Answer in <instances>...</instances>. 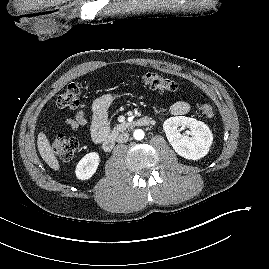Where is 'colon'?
I'll return each mask as SVG.
<instances>
[{"label":"colon","instance_id":"1","mask_svg":"<svg viewBox=\"0 0 269 269\" xmlns=\"http://www.w3.org/2000/svg\"><path fill=\"white\" fill-rule=\"evenodd\" d=\"M142 80L146 86L160 91L173 92L178 88L176 82L155 72L145 73ZM80 95L81 85L77 82L70 83L59 95L57 105L61 109L74 110L80 105ZM197 110L205 118H210L214 114L213 105L209 102L199 104ZM78 146V141L75 138L64 135H58L52 142L54 153L63 161L71 160Z\"/></svg>","mask_w":269,"mask_h":269}]
</instances>
